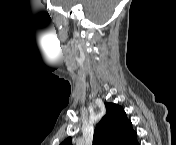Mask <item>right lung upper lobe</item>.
<instances>
[{
    "label": "right lung upper lobe",
    "instance_id": "cb5924a9",
    "mask_svg": "<svg viewBox=\"0 0 176 145\" xmlns=\"http://www.w3.org/2000/svg\"><path fill=\"white\" fill-rule=\"evenodd\" d=\"M105 107L106 114L94 131L93 145H136L137 134L124 109L114 103H105ZM62 145H71V137L64 140Z\"/></svg>",
    "mask_w": 176,
    "mask_h": 145
}]
</instances>
